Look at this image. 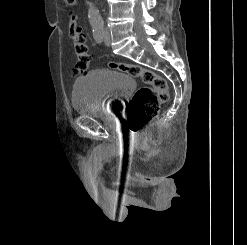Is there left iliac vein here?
<instances>
[{"label":"left iliac vein","instance_id":"obj_1","mask_svg":"<svg viewBox=\"0 0 247 245\" xmlns=\"http://www.w3.org/2000/svg\"><path fill=\"white\" fill-rule=\"evenodd\" d=\"M103 37H104V43L105 45L109 46L111 43V35L108 29H105L103 32Z\"/></svg>","mask_w":247,"mask_h":245}]
</instances>
